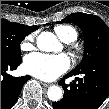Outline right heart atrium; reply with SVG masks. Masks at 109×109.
Instances as JSON below:
<instances>
[{
  "instance_id": "right-heart-atrium-1",
  "label": "right heart atrium",
  "mask_w": 109,
  "mask_h": 109,
  "mask_svg": "<svg viewBox=\"0 0 109 109\" xmlns=\"http://www.w3.org/2000/svg\"><path fill=\"white\" fill-rule=\"evenodd\" d=\"M35 39L33 35L26 36L20 43V49L22 51H30L34 48Z\"/></svg>"
}]
</instances>
